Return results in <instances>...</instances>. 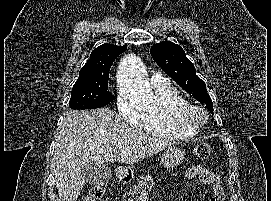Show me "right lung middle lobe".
Here are the masks:
<instances>
[{"mask_svg":"<svg viewBox=\"0 0 271 201\" xmlns=\"http://www.w3.org/2000/svg\"><path fill=\"white\" fill-rule=\"evenodd\" d=\"M109 75L79 77L72 88L69 106L73 109H94L108 105L114 95L107 91Z\"/></svg>","mask_w":271,"mask_h":201,"instance_id":"dd1d6c3e","label":"right lung middle lobe"}]
</instances>
